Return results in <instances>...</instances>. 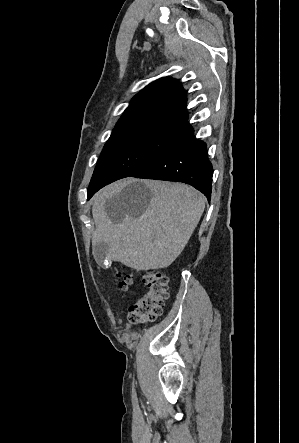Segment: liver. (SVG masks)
<instances>
[{
	"label": "liver",
	"mask_w": 299,
	"mask_h": 443,
	"mask_svg": "<svg viewBox=\"0 0 299 443\" xmlns=\"http://www.w3.org/2000/svg\"><path fill=\"white\" fill-rule=\"evenodd\" d=\"M127 186L130 198L123 201L120 193ZM204 208V196L185 184L115 182L92 198V245L107 243L110 260L137 271L166 268L183 251Z\"/></svg>",
	"instance_id": "liver-1"
}]
</instances>
